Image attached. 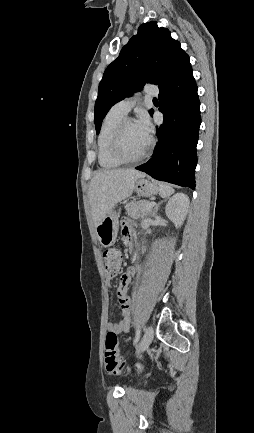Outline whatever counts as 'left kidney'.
Masks as SVG:
<instances>
[{"label": "left kidney", "instance_id": "obj_1", "mask_svg": "<svg viewBox=\"0 0 254 433\" xmlns=\"http://www.w3.org/2000/svg\"><path fill=\"white\" fill-rule=\"evenodd\" d=\"M189 203V198L184 193H177L169 199L165 213L176 228L182 225L188 212Z\"/></svg>", "mask_w": 254, "mask_h": 433}]
</instances>
